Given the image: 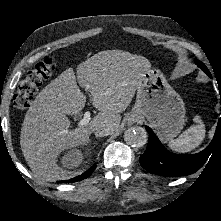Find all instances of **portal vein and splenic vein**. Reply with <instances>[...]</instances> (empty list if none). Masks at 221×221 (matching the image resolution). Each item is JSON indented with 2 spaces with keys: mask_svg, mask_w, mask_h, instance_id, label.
<instances>
[{
  "mask_svg": "<svg viewBox=\"0 0 221 221\" xmlns=\"http://www.w3.org/2000/svg\"><path fill=\"white\" fill-rule=\"evenodd\" d=\"M90 119H91V113H90L89 111H86V112L84 113L83 119H81V120L79 121L78 126H83V125L88 124L89 121H90Z\"/></svg>",
  "mask_w": 221,
  "mask_h": 221,
  "instance_id": "obj_1",
  "label": "portal vein and splenic vein"
}]
</instances>
